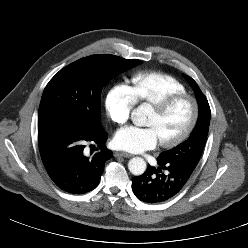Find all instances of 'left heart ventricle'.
Returning <instances> with one entry per match:
<instances>
[{
	"instance_id": "1",
	"label": "left heart ventricle",
	"mask_w": 248,
	"mask_h": 248,
	"mask_svg": "<svg viewBox=\"0 0 248 248\" xmlns=\"http://www.w3.org/2000/svg\"><path fill=\"white\" fill-rule=\"evenodd\" d=\"M192 115V104L184 99L175 103L166 113L158 115L150 111L146 125L153 127L159 141H166L177 137L187 127Z\"/></svg>"
}]
</instances>
